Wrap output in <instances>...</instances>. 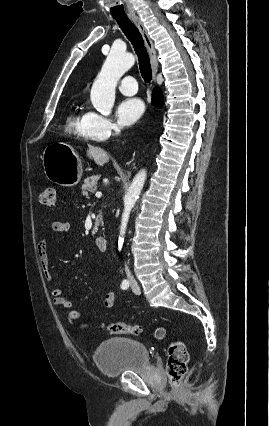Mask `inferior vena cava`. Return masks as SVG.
<instances>
[{"mask_svg":"<svg viewBox=\"0 0 269 426\" xmlns=\"http://www.w3.org/2000/svg\"><path fill=\"white\" fill-rule=\"evenodd\" d=\"M126 272L129 273L128 268L126 267Z\"/></svg>","mask_w":269,"mask_h":426,"instance_id":"inferior-vena-cava-1","label":"inferior vena cava"}]
</instances>
